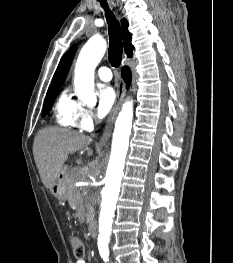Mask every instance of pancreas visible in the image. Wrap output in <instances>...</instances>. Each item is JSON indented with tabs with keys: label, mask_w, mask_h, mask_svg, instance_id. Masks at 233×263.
<instances>
[{
	"label": "pancreas",
	"mask_w": 233,
	"mask_h": 263,
	"mask_svg": "<svg viewBox=\"0 0 233 263\" xmlns=\"http://www.w3.org/2000/svg\"><path fill=\"white\" fill-rule=\"evenodd\" d=\"M79 180L80 179L78 177L72 178L71 176H69L68 183L70 188L68 190L67 199L70 206H75L76 208H84V207L87 208V210L89 211L87 222H89L91 216V208L86 203L83 193H81L82 188H77L73 186V183Z\"/></svg>",
	"instance_id": "cf45deb5"
}]
</instances>
